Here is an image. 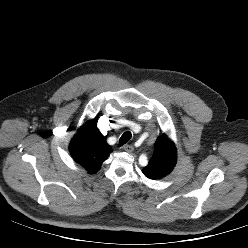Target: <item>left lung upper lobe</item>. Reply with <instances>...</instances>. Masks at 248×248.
I'll list each match as a JSON object with an SVG mask.
<instances>
[{"label": "left lung upper lobe", "instance_id": "5c2ea615", "mask_svg": "<svg viewBox=\"0 0 248 248\" xmlns=\"http://www.w3.org/2000/svg\"><path fill=\"white\" fill-rule=\"evenodd\" d=\"M177 161L174 143L165 135L159 136L155 150L148 165L143 168V174L149 179H161L171 173Z\"/></svg>", "mask_w": 248, "mask_h": 248}]
</instances>
